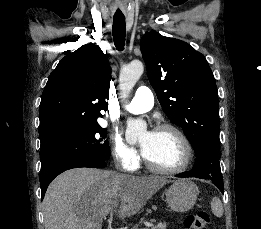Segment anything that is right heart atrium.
<instances>
[{
	"mask_svg": "<svg viewBox=\"0 0 261 229\" xmlns=\"http://www.w3.org/2000/svg\"><path fill=\"white\" fill-rule=\"evenodd\" d=\"M112 155L117 165L127 172H134L140 166V155L134 146L119 136H112Z\"/></svg>",
	"mask_w": 261,
	"mask_h": 229,
	"instance_id": "1",
	"label": "right heart atrium"
}]
</instances>
